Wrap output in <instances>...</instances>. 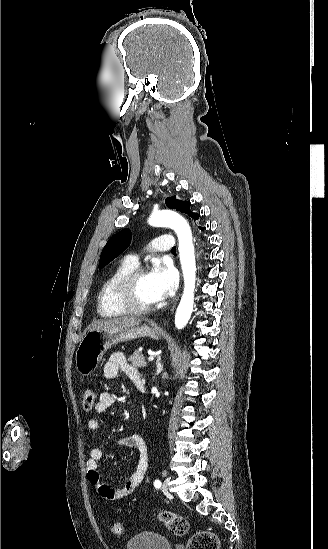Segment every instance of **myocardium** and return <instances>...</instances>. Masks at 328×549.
Masks as SVG:
<instances>
[{
	"mask_svg": "<svg viewBox=\"0 0 328 549\" xmlns=\"http://www.w3.org/2000/svg\"><path fill=\"white\" fill-rule=\"evenodd\" d=\"M157 261H145L124 273L113 285L111 297L115 302L111 309L118 314L140 317L154 311L157 302L142 303L133 296L134 283L143 275L148 274V267L156 265Z\"/></svg>",
	"mask_w": 328,
	"mask_h": 549,
	"instance_id": "obj_1",
	"label": "myocardium"
}]
</instances>
